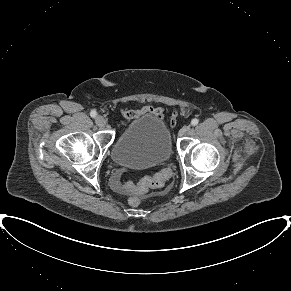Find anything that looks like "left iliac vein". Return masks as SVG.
I'll return each mask as SVG.
<instances>
[{
    "mask_svg": "<svg viewBox=\"0 0 291 291\" xmlns=\"http://www.w3.org/2000/svg\"><path fill=\"white\" fill-rule=\"evenodd\" d=\"M190 130V126L185 125L179 131V136H184Z\"/></svg>",
    "mask_w": 291,
    "mask_h": 291,
    "instance_id": "1",
    "label": "left iliac vein"
}]
</instances>
